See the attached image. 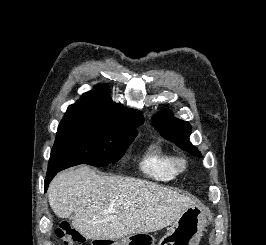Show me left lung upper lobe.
Returning <instances> with one entry per match:
<instances>
[{
  "mask_svg": "<svg viewBox=\"0 0 266 245\" xmlns=\"http://www.w3.org/2000/svg\"><path fill=\"white\" fill-rule=\"evenodd\" d=\"M154 128L166 139L192 155L201 157L200 151L188 142L191 126L188 122L174 118L169 112H162L152 120Z\"/></svg>",
  "mask_w": 266,
  "mask_h": 245,
  "instance_id": "5c2ea615",
  "label": "left lung upper lobe"
}]
</instances>
